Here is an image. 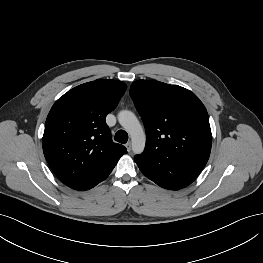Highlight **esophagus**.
Instances as JSON below:
<instances>
[{
  "mask_svg": "<svg viewBox=\"0 0 263 263\" xmlns=\"http://www.w3.org/2000/svg\"><path fill=\"white\" fill-rule=\"evenodd\" d=\"M125 147L127 148V151H131V142L126 143Z\"/></svg>",
  "mask_w": 263,
  "mask_h": 263,
  "instance_id": "obj_1",
  "label": "esophagus"
}]
</instances>
